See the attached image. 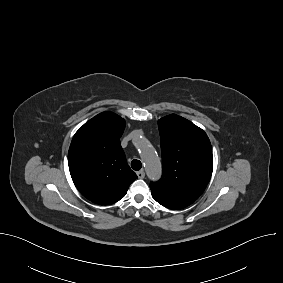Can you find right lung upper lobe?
<instances>
[{"label": "right lung upper lobe", "mask_w": 283, "mask_h": 283, "mask_svg": "<svg viewBox=\"0 0 283 283\" xmlns=\"http://www.w3.org/2000/svg\"><path fill=\"white\" fill-rule=\"evenodd\" d=\"M125 121L112 112H102L74 135L68 165L72 180L88 200L110 205L122 199L137 175L127 164L120 137Z\"/></svg>", "instance_id": "1"}]
</instances>
